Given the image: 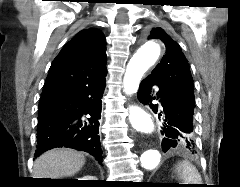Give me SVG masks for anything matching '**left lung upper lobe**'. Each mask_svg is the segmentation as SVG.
<instances>
[{
	"label": "left lung upper lobe",
	"instance_id": "left-lung-upper-lobe-1",
	"mask_svg": "<svg viewBox=\"0 0 240 187\" xmlns=\"http://www.w3.org/2000/svg\"><path fill=\"white\" fill-rule=\"evenodd\" d=\"M148 38L160 39L166 47L165 55L149 77L160 87L194 101V86L191 72L180 46L160 27L153 28ZM187 137H193V133Z\"/></svg>",
	"mask_w": 240,
	"mask_h": 187
}]
</instances>
